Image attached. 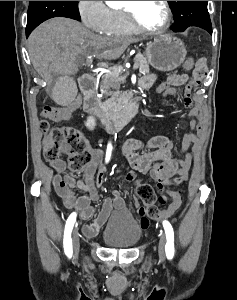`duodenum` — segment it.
I'll list each match as a JSON object with an SVG mask.
<instances>
[{
  "label": "duodenum",
  "instance_id": "1",
  "mask_svg": "<svg viewBox=\"0 0 237 300\" xmlns=\"http://www.w3.org/2000/svg\"><path fill=\"white\" fill-rule=\"evenodd\" d=\"M80 89L83 96V104L86 112L92 116L100 130L112 134L120 131L137 113L141 100L139 96L130 99L121 113L116 116L107 115L101 108L96 95V79L90 74H85L80 79Z\"/></svg>",
  "mask_w": 237,
  "mask_h": 300
}]
</instances>
